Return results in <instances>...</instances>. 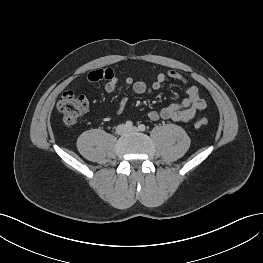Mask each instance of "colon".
<instances>
[{
    "label": "colon",
    "instance_id": "obj_1",
    "mask_svg": "<svg viewBox=\"0 0 263 263\" xmlns=\"http://www.w3.org/2000/svg\"><path fill=\"white\" fill-rule=\"evenodd\" d=\"M57 108L64 123L68 126H73L87 111L88 100L82 94L74 91H67L59 99ZM206 125L207 121L205 119H201L196 123V127L198 128Z\"/></svg>",
    "mask_w": 263,
    "mask_h": 263
}]
</instances>
